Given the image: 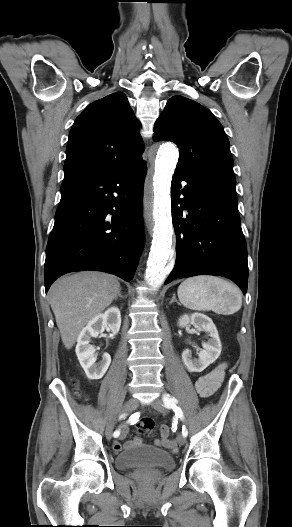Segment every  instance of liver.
Wrapping results in <instances>:
<instances>
[{"label":"liver","mask_w":292,"mask_h":527,"mask_svg":"<svg viewBox=\"0 0 292 527\" xmlns=\"http://www.w3.org/2000/svg\"><path fill=\"white\" fill-rule=\"evenodd\" d=\"M112 275L84 271L58 279L49 290V302L66 349L75 344L81 330L104 311L120 292Z\"/></svg>","instance_id":"1"}]
</instances>
